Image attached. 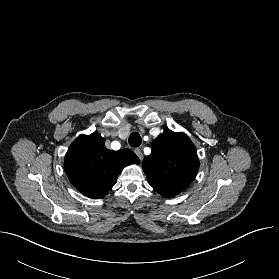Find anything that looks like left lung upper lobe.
<instances>
[{
    "label": "left lung upper lobe",
    "mask_w": 279,
    "mask_h": 279,
    "mask_svg": "<svg viewBox=\"0 0 279 279\" xmlns=\"http://www.w3.org/2000/svg\"><path fill=\"white\" fill-rule=\"evenodd\" d=\"M142 168L153 189L167 198L191 184L198 172L199 159L186 134L165 130L152 142V152L144 159Z\"/></svg>",
    "instance_id": "5c2ea615"
}]
</instances>
